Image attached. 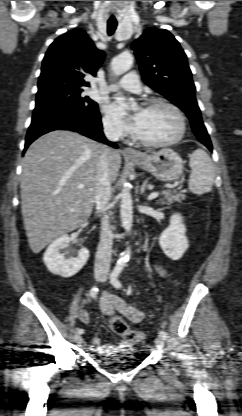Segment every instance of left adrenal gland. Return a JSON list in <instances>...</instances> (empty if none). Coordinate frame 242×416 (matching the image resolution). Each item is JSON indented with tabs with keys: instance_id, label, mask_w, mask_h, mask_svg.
I'll return each instance as SVG.
<instances>
[{
	"instance_id": "left-adrenal-gland-1",
	"label": "left adrenal gland",
	"mask_w": 242,
	"mask_h": 416,
	"mask_svg": "<svg viewBox=\"0 0 242 416\" xmlns=\"http://www.w3.org/2000/svg\"><path fill=\"white\" fill-rule=\"evenodd\" d=\"M147 185H148V179H147V180H145V181L143 182L142 186H141V189H140V193H141V194H144V192H145V190H146Z\"/></svg>"
}]
</instances>
